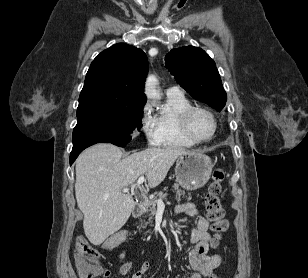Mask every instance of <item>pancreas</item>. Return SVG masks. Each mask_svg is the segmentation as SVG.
Segmentation results:
<instances>
[{
	"mask_svg": "<svg viewBox=\"0 0 308 278\" xmlns=\"http://www.w3.org/2000/svg\"><path fill=\"white\" fill-rule=\"evenodd\" d=\"M173 187H174V190H175V193H176V198L179 201L180 197L182 195H185V191H182L181 189H179V185L178 184H174ZM158 195L161 197L163 195V193L159 192ZM143 205L146 208L147 213H149V215H150L149 221H151L153 216L156 214L157 199L154 198V199H151V200H145Z\"/></svg>",
	"mask_w": 308,
	"mask_h": 278,
	"instance_id": "pancreas-1",
	"label": "pancreas"
}]
</instances>
